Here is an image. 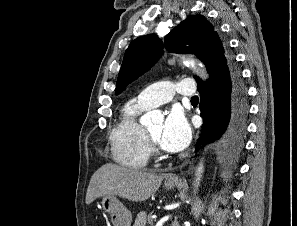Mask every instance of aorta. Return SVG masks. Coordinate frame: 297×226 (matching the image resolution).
Listing matches in <instances>:
<instances>
[{
    "label": "aorta",
    "mask_w": 297,
    "mask_h": 226,
    "mask_svg": "<svg viewBox=\"0 0 297 226\" xmlns=\"http://www.w3.org/2000/svg\"><path fill=\"white\" fill-rule=\"evenodd\" d=\"M183 63L187 66V67H190V68H192V69H198L199 68V70H200V72H201V65H199V67L196 65V63H195V61L194 60H192V59H183ZM157 116H158V112L157 111H153V112H150V113H148L147 115H146V118L148 119V120H150V119H155V118H157ZM198 171H199V173L202 171V167H199V169H198ZM200 175H198V178L196 179L197 181H199L200 180V177H199Z\"/></svg>",
    "instance_id": "1"
}]
</instances>
